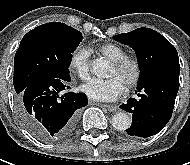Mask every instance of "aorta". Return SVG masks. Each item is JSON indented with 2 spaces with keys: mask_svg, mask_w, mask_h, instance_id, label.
<instances>
[{
  "mask_svg": "<svg viewBox=\"0 0 190 165\" xmlns=\"http://www.w3.org/2000/svg\"><path fill=\"white\" fill-rule=\"evenodd\" d=\"M108 69V64L103 59H96L92 63V72L97 77L105 76ZM112 125L115 129L119 131L126 130L131 125V119L129 115L125 112L116 113L112 118Z\"/></svg>",
  "mask_w": 190,
  "mask_h": 165,
  "instance_id": "aorta-1",
  "label": "aorta"
}]
</instances>
